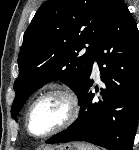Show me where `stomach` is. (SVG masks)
Instances as JSON below:
<instances>
[{
	"label": "stomach",
	"instance_id": "stomach-1",
	"mask_svg": "<svg viewBox=\"0 0 139 150\" xmlns=\"http://www.w3.org/2000/svg\"><path fill=\"white\" fill-rule=\"evenodd\" d=\"M47 150H89L88 146L78 143H68Z\"/></svg>",
	"mask_w": 139,
	"mask_h": 150
}]
</instances>
